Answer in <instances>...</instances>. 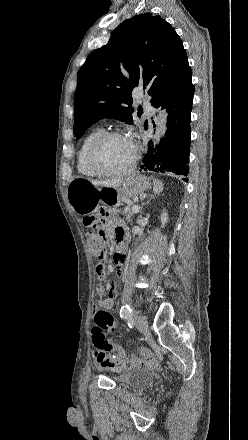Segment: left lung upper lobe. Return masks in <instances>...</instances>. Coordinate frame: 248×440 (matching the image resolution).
<instances>
[{"instance_id": "1", "label": "left lung upper lobe", "mask_w": 248, "mask_h": 440, "mask_svg": "<svg viewBox=\"0 0 248 440\" xmlns=\"http://www.w3.org/2000/svg\"><path fill=\"white\" fill-rule=\"evenodd\" d=\"M191 75L182 41L167 21L151 13L125 20L78 71L74 136L104 117L131 124L135 87L148 91L153 106Z\"/></svg>"}]
</instances>
